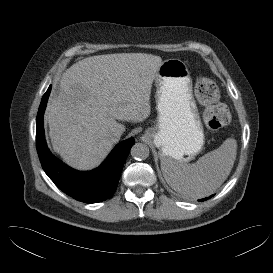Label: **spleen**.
Segmentation results:
<instances>
[{
    "instance_id": "obj_1",
    "label": "spleen",
    "mask_w": 273,
    "mask_h": 273,
    "mask_svg": "<svg viewBox=\"0 0 273 273\" xmlns=\"http://www.w3.org/2000/svg\"><path fill=\"white\" fill-rule=\"evenodd\" d=\"M237 142L233 137L192 164L161 162L165 180L176 192L191 198L213 194L227 179L234 165Z\"/></svg>"
}]
</instances>
